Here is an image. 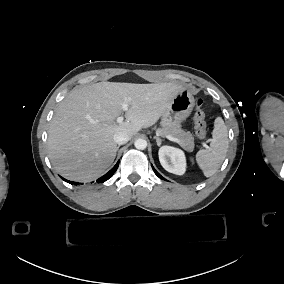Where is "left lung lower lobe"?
I'll use <instances>...</instances> for the list:
<instances>
[{
    "instance_id": "0a47b994",
    "label": "left lung lower lobe",
    "mask_w": 284,
    "mask_h": 284,
    "mask_svg": "<svg viewBox=\"0 0 284 284\" xmlns=\"http://www.w3.org/2000/svg\"><path fill=\"white\" fill-rule=\"evenodd\" d=\"M152 168H153V170H154V172H155V174L159 177V178H161V179H163L164 180V178L154 169V167L152 166Z\"/></svg>"
}]
</instances>
